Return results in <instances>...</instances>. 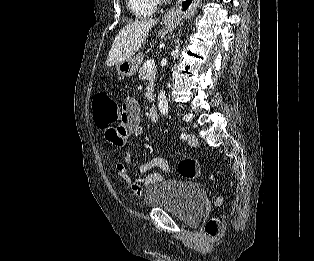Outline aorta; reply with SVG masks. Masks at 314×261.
<instances>
[{"label":"aorta","mask_w":314,"mask_h":261,"mask_svg":"<svg viewBox=\"0 0 314 261\" xmlns=\"http://www.w3.org/2000/svg\"><path fill=\"white\" fill-rule=\"evenodd\" d=\"M179 55V46L173 51L172 56L175 61ZM158 108L162 114H167L168 112V101L165 95V91L162 89L158 95Z\"/></svg>","instance_id":"1"}]
</instances>
